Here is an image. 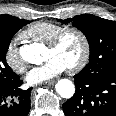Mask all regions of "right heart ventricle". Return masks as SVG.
I'll return each instance as SVG.
<instances>
[{
  "label": "right heart ventricle",
  "mask_w": 116,
  "mask_h": 116,
  "mask_svg": "<svg viewBox=\"0 0 116 116\" xmlns=\"http://www.w3.org/2000/svg\"><path fill=\"white\" fill-rule=\"evenodd\" d=\"M65 26L51 22V21H39L30 25L23 35L33 41L48 44L53 37Z\"/></svg>",
  "instance_id": "obj_1"
}]
</instances>
